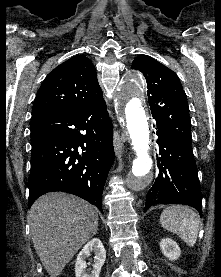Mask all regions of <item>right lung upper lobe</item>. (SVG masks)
Returning <instances> with one entry per match:
<instances>
[{
	"label": "right lung upper lobe",
	"mask_w": 221,
	"mask_h": 277,
	"mask_svg": "<svg viewBox=\"0 0 221 277\" xmlns=\"http://www.w3.org/2000/svg\"><path fill=\"white\" fill-rule=\"evenodd\" d=\"M102 100L95 67L86 56L77 55L47 75L36 95L32 116L76 111Z\"/></svg>",
	"instance_id": "right-lung-upper-lobe-1"
}]
</instances>
